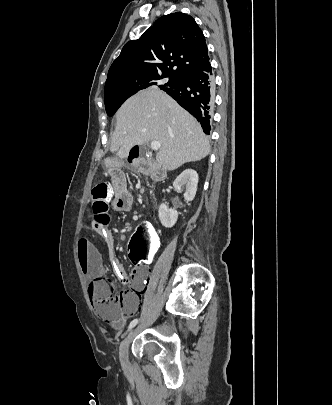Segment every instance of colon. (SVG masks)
I'll return each mask as SVG.
<instances>
[{"label": "colon", "mask_w": 332, "mask_h": 405, "mask_svg": "<svg viewBox=\"0 0 332 405\" xmlns=\"http://www.w3.org/2000/svg\"><path fill=\"white\" fill-rule=\"evenodd\" d=\"M114 191L115 186L108 182H102L93 189L92 211L97 229L103 230L108 226L110 199L114 197ZM153 229L150 222H142L135 227L129 248L132 267H149V260L157 256L159 235ZM88 292L99 315L105 319L124 314L132 297L130 292L117 293L113 281L107 277L96 278L89 285Z\"/></svg>", "instance_id": "colon-1"}]
</instances>
